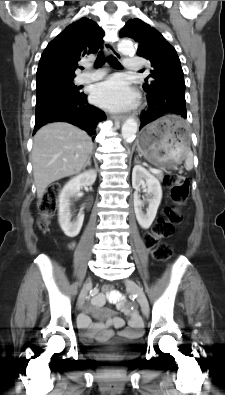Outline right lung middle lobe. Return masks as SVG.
I'll list each match as a JSON object with an SVG mask.
<instances>
[{"label":"right lung middle lobe","instance_id":"dd1d6c3e","mask_svg":"<svg viewBox=\"0 0 225 395\" xmlns=\"http://www.w3.org/2000/svg\"><path fill=\"white\" fill-rule=\"evenodd\" d=\"M37 101L36 104L42 103L53 95L59 93H79L73 80H64L36 87Z\"/></svg>","mask_w":225,"mask_h":395}]
</instances>
